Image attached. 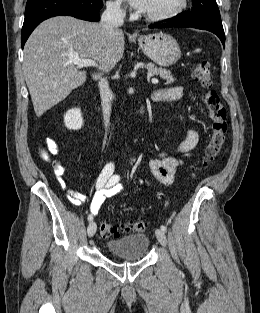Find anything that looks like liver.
Listing matches in <instances>:
<instances>
[{
    "instance_id": "1",
    "label": "liver",
    "mask_w": 260,
    "mask_h": 313,
    "mask_svg": "<svg viewBox=\"0 0 260 313\" xmlns=\"http://www.w3.org/2000/svg\"><path fill=\"white\" fill-rule=\"evenodd\" d=\"M124 43L120 29L108 33L101 23L70 16L43 21L25 44L22 66L36 116L85 83L86 71L70 62L71 56L91 59L110 70L121 60Z\"/></svg>"
}]
</instances>
